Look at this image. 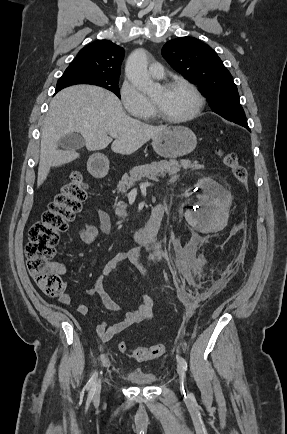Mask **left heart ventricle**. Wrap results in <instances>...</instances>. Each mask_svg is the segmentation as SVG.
<instances>
[{"label":"left heart ventricle","instance_id":"1","mask_svg":"<svg viewBox=\"0 0 287 434\" xmlns=\"http://www.w3.org/2000/svg\"><path fill=\"white\" fill-rule=\"evenodd\" d=\"M152 100L163 114L171 118L187 115L195 104L193 95L183 87L170 89L160 87L153 95Z\"/></svg>","mask_w":287,"mask_h":434}]
</instances>
